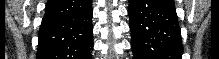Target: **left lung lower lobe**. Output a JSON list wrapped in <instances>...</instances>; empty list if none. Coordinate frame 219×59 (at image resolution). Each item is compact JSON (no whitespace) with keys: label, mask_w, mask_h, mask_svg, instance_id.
Returning <instances> with one entry per match:
<instances>
[{"label":"left lung lower lobe","mask_w":219,"mask_h":59,"mask_svg":"<svg viewBox=\"0 0 219 59\" xmlns=\"http://www.w3.org/2000/svg\"><path fill=\"white\" fill-rule=\"evenodd\" d=\"M133 59H182L173 0H129Z\"/></svg>","instance_id":"obj_1"}]
</instances>
